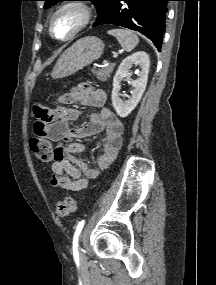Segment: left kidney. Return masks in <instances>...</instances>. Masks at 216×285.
Masks as SVG:
<instances>
[{"mask_svg":"<svg viewBox=\"0 0 216 285\" xmlns=\"http://www.w3.org/2000/svg\"><path fill=\"white\" fill-rule=\"evenodd\" d=\"M133 65H139L141 71L139 72L136 80L129 82V84L133 87L131 98L127 101H123L120 98V82L123 78L130 77V69ZM149 67V56L143 51L136 52L126 57L121 62L113 78L112 89V104L119 117H127L141 100L147 85Z\"/></svg>","mask_w":216,"mask_h":285,"instance_id":"obj_1","label":"left kidney"}]
</instances>
